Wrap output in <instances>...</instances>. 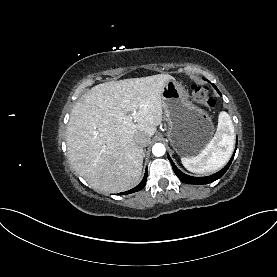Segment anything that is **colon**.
I'll return each mask as SVG.
<instances>
[{"label":"colon","instance_id":"1","mask_svg":"<svg viewBox=\"0 0 277 277\" xmlns=\"http://www.w3.org/2000/svg\"><path fill=\"white\" fill-rule=\"evenodd\" d=\"M191 96L195 102L202 104L207 108L211 109L215 106V100L209 96L208 90L204 86L195 83L192 84Z\"/></svg>","mask_w":277,"mask_h":277}]
</instances>
